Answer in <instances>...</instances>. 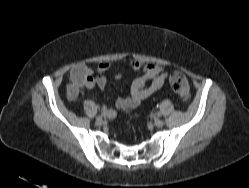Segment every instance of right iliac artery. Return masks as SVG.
<instances>
[{
	"mask_svg": "<svg viewBox=\"0 0 249 188\" xmlns=\"http://www.w3.org/2000/svg\"><path fill=\"white\" fill-rule=\"evenodd\" d=\"M102 117H103V115H98V116L96 117V120L102 119Z\"/></svg>",
	"mask_w": 249,
	"mask_h": 188,
	"instance_id": "right-iliac-artery-1",
	"label": "right iliac artery"
}]
</instances>
